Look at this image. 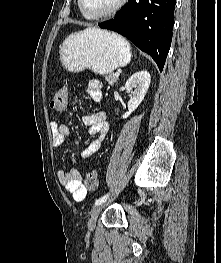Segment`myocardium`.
Instances as JSON below:
<instances>
[{"label": "myocardium", "mask_w": 221, "mask_h": 263, "mask_svg": "<svg viewBox=\"0 0 221 263\" xmlns=\"http://www.w3.org/2000/svg\"><path fill=\"white\" fill-rule=\"evenodd\" d=\"M127 1L128 0H118V2L112 8H110L109 10L103 13H99V14H92L88 12L84 6L83 0H78V5H79L81 12L83 13L85 17L92 19V20H97V19L107 18V17H110L116 14L119 10L122 9V7L126 4Z\"/></svg>", "instance_id": "f54148a6"}]
</instances>
